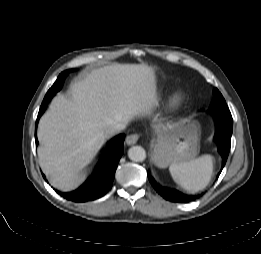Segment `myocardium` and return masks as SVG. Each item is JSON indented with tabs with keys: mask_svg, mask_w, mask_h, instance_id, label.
Wrapping results in <instances>:
<instances>
[{
	"mask_svg": "<svg viewBox=\"0 0 261 254\" xmlns=\"http://www.w3.org/2000/svg\"><path fill=\"white\" fill-rule=\"evenodd\" d=\"M183 101L184 97L180 91H175L171 93L166 100V113L168 115H172L179 111V109L182 107Z\"/></svg>",
	"mask_w": 261,
	"mask_h": 254,
	"instance_id": "obj_1",
	"label": "myocardium"
}]
</instances>
